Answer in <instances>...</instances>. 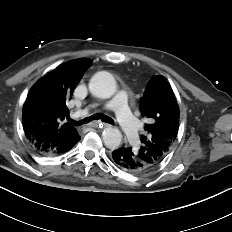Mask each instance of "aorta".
Here are the masks:
<instances>
[{"instance_id": "aorta-1", "label": "aorta", "mask_w": 232, "mask_h": 232, "mask_svg": "<svg viewBox=\"0 0 232 232\" xmlns=\"http://www.w3.org/2000/svg\"><path fill=\"white\" fill-rule=\"evenodd\" d=\"M116 89L114 77L106 71L96 73L89 82L90 92L98 98H110L115 94ZM102 138L105 146L114 150L120 146L122 134L117 128L107 127L102 133Z\"/></svg>"}]
</instances>
